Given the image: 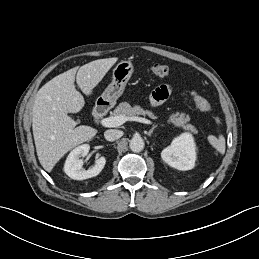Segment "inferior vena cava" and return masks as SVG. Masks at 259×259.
Wrapping results in <instances>:
<instances>
[{
    "mask_svg": "<svg viewBox=\"0 0 259 259\" xmlns=\"http://www.w3.org/2000/svg\"><path fill=\"white\" fill-rule=\"evenodd\" d=\"M121 135H122V132L116 129H109L104 132V137L107 141H115L118 138H120Z\"/></svg>",
    "mask_w": 259,
    "mask_h": 259,
    "instance_id": "obj_1",
    "label": "inferior vena cava"
}]
</instances>
